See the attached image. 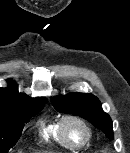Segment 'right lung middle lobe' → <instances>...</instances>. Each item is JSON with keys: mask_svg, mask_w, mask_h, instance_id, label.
Listing matches in <instances>:
<instances>
[{"mask_svg": "<svg viewBox=\"0 0 130 153\" xmlns=\"http://www.w3.org/2000/svg\"><path fill=\"white\" fill-rule=\"evenodd\" d=\"M46 102L32 104L17 112L0 111V153H6L20 138L24 124L43 109Z\"/></svg>", "mask_w": 130, "mask_h": 153, "instance_id": "right-lung-middle-lobe-1", "label": "right lung middle lobe"}]
</instances>
